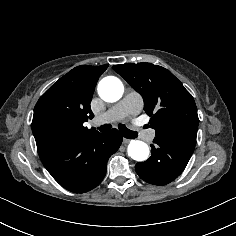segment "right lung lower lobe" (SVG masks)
Instances as JSON below:
<instances>
[{"instance_id":"obj_1","label":"right lung lower lobe","mask_w":236,"mask_h":236,"mask_svg":"<svg viewBox=\"0 0 236 236\" xmlns=\"http://www.w3.org/2000/svg\"><path fill=\"white\" fill-rule=\"evenodd\" d=\"M122 136L112 129L109 133H94L87 137L65 140L39 153V157L64 188L75 193L90 191L103 180L109 157L122 143Z\"/></svg>"}]
</instances>
